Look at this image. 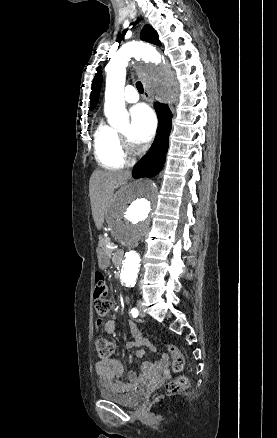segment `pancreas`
<instances>
[{
	"mask_svg": "<svg viewBox=\"0 0 277 438\" xmlns=\"http://www.w3.org/2000/svg\"><path fill=\"white\" fill-rule=\"evenodd\" d=\"M111 238V231H102L101 235L98 237L99 245L97 250L99 253H116L117 246L116 244H112Z\"/></svg>",
	"mask_w": 277,
	"mask_h": 438,
	"instance_id": "obj_1",
	"label": "pancreas"
}]
</instances>
